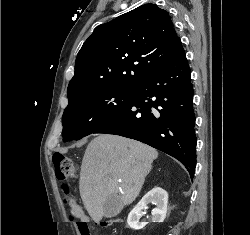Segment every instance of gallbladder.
I'll return each mask as SVG.
<instances>
[{
	"label": "gallbladder",
	"mask_w": 250,
	"mask_h": 235,
	"mask_svg": "<svg viewBox=\"0 0 250 235\" xmlns=\"http://www.w3.org/2000/svg\"><path fill=\"white\" fill-rule=\"evenodd\" d=\"M122 208L123 204L120 199L115 196H110L104 204V216L107 218L115 217L121 212Z\"/></svg>",
	"instance_id": "gallbladder-1"
}]
</instances>
